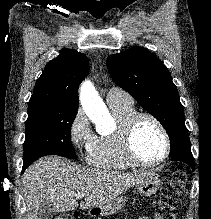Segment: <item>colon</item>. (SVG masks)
I'll use <instances>...</instances> for the list:
<instances>
[{"mask_svg":"<svg viewBox=\"0 0 211 219\" xmlns=\"http://www.w3.org/2000/svg\"><path fill=\"white\" fill-rule=\"evenodd\" d=\"M186 176L182 167H177L161 189V198L156 208L164 212H173L182 206L186 193ZM74 217H77L76 215ZM56 219H71L69 216H60Z\"/></svg>","mask_w":211,"mask_h":219,"instance_id":"5ec220e1","label":"colon"}]
</instances>
